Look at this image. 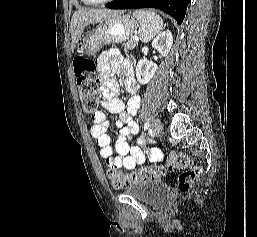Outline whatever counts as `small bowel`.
I'll return each instance as SVG.
<instances>
[{
    "mask_svg": "<svg viewBox=\"0 0 257 237\" xmlns=\"http://www.w3.org/2000/svg\"><path fill=\"white\" fill-rule=\"evenodd\" d=\"M98 68L103 81L101 106L108 112L118 115L116 126L120 129L114 151L111 146V138L107 133L108 120L105 113L103 111L94 113L90 133L100 148L102 158L110 166L127 170H132L138 164H142L145 161L146 153L149 154L152 162H162L163 155L160 150L156 148L144 150L138 146L130 145V141L139 131V126L133 120V116L140 106V98L135 95L139 86L133 78L134 69L131 61L123 59L118 50L110 49L99 56ZM113 69L124 76L126 89L133 94L127 106L116 96L119 85L112 77ZM139 143L144 144L145 139H140Z\"/></svg>",
    "mask_w": 257,
    "mask_h": 237,
    "instance_id": "c3829d8e",
    "label": "small bowel"
}]
</instances>
